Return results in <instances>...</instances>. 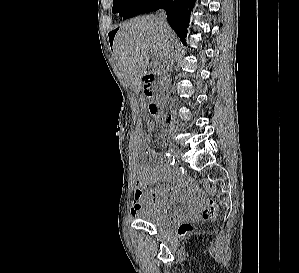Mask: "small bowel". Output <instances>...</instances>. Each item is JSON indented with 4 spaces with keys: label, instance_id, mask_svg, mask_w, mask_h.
<instances>
[{
    "label": "small bowel",
    "instance_id": "1",
    "mask_svg": "<svg viewBox=\"0 0 299 273\" xmlns=\"http://www.w3.org/2000/svg\"><path fill=\"white\" fill-rule=\"evenodd\" d=\"M147 132L136 136L139 150L148 158L156 159L157 154L145 141H152V132L155 124L152 121L146 123ZM163 184L150 189L156 182ZM136 190L132 203L131 213L133 216L142 210H150L159 214L169 213L171 206L180 201L187 204L185 215L195 217L200 208L198 199L186 190L183 179L175 173L168 165L159 162L158 164H138L135 178Z\"/></svg>",
    "mask_w": 299,
    "mask_h": 273
}]
</instances>
